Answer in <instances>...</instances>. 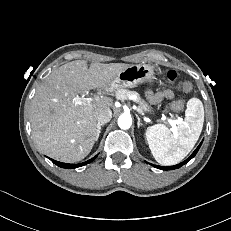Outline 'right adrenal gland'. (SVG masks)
Masks as SVG:
<instances>
[{
    "label": "right adrenal gland",
    "mask_w": 231,
    "mask_h": 231,
    "mask_svg": "<svg viewBox=\"0 0 231 231\" xmlns=\"http://www.w3.org/2000/svg\"><path fill=\"white\" fill-rule=\"evenodd\" d=\"M103 125H98V127H97V137H96V140H98V138H99V135L101 133V126H103Z\"/></svg>",
    "instance_id": "2a0ac1e0"
}]
</instances>
